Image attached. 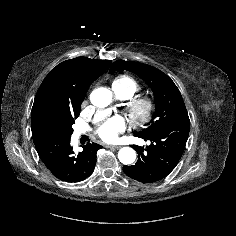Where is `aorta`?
I'll use <instances>...</instances> for the list:
<instances>
[{
    "mask_svg": "<svg viewBox=\"0 0 236 236\" xmlns=\"http://www.w3.org/2000/svg\"><path fill=\"white\" fill-rule=\"evenodd\" d=\"M90 100L99 108L108 106L112 100V92L107 88H98L92 91ZM118 158L125 165L132 164L136 159V152L131 147H123L118 152Z\"/></svg>",
    "mask_w": 236,
    "mask_h": 236,
    "instance_id": "762f6f07",
    "label": "aorta"
}]
</instances>
